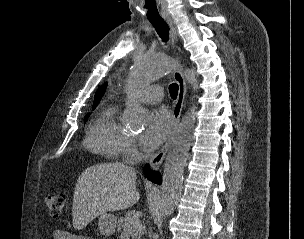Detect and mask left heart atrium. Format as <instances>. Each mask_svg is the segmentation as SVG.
Instances as JSON below:
<instances>
[{
  "mask_svg": "<svg viewBox=\"0 0 304 239\" xmlns=\"http://www.w3.org/2000/svg\"><path fill=\"white\" fill-rule=\"evenodd\" d=\"M171 126V114L165 107L154 110L146 130L141 136L143 148L146 151L155 150L165 140Z\"/></svg>",
  "mask_w": 304,
  "mask_h": 239,
  "instance_id": "1",
  "label": "left heart atrium"
}]
</instances>
